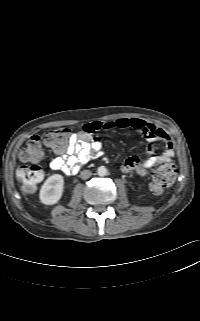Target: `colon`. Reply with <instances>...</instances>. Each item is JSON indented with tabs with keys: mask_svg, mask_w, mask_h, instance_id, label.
I'll return each mask as SVG.
<instances>
[{
	"mask_svg": "<svg viewBox=\"0 0 200 321\" xmlns=\"http://www.w3.org/2000/svg\"><path fill=\"white\" fill-rule=\"evenodd\" d=\"M70 137V130L67 128H55L45 133L43 140L46 145L54 150L63 149ZM42 157V146L40 137L31 136L20 151V158L30 165H24L17 169L16 176L21 187L26 193H33L43 178L42 168L38 161ZM177 170L173 162V154H167L162 158L155 168L150 190L153 194H161L170 187L176 178Z\"/></svg>",
	"mask_w": 200,
	"mask_h": 321,
	"instance_id": "colon-1",
	"label": "colon"
}]
</instances>
